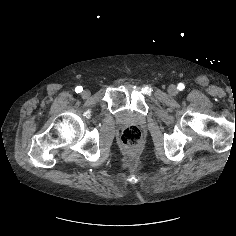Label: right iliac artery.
Returning <instances> with one entry per match:
<instances>
[{
	"label": "right iliac artery",
	"instance_id": "right-iliac-artery-1",
	"mask_svg": "<svg viewBox=\"0 0 236 236\" xmlns=\"http://www.w3.org/2000/svg\"><path fill=\"white\" fill-rule=\"evenodd\" d=\"M82 90H83V88H82L81 86H77V87L75 88L76 93H81Z\"/></svg>",
	"mask_w": 236,
	"mask_h": 236
}]
</instances>
